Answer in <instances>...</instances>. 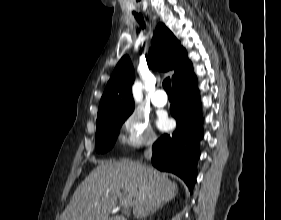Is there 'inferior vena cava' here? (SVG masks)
<instances>
[{"mask_svg":"<svg viewBox=\"0 0 281 220\" xmlns=\"http://www.w3.org/2000/svg\"><path fill=\"white\" fill-rule=\"evenodd\" d=\"M152 143H153V141H150V143L148 144V148L144 152V157L147 160H150L152 157V149H151Z\"/></svg>","mask_w":281,"mask_h":220,"instance_id":"602c4592","label":"inferior vena cava"}]
</instances>
